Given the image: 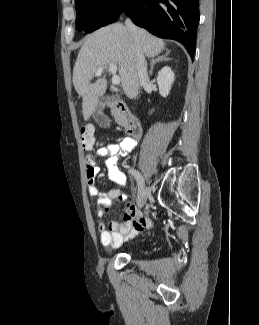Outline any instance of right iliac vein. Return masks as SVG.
Listing matches in <instances>:
<instances>
[{
    "instance_id": "obj_1",
    "label": "right iliac vein",
    "mask_w": 259,
    "mask_h": 325,
    "mask_svg": "<svg viewBox=\"0 0 259 325\" xmlns=\"http://www.w3.org/2000/svg\"><path fill=\"white\" fill-rule=\"evenodd\" d=\"M140 177H141L140 179L142 182H141V187H140L141 192L140 193L138 192V194H139L138 203H139V207H143L147 200V189H146L143 177L142 176H140ZM138 189H139V187H138Z\"/></svg>"
}]
</instances>
